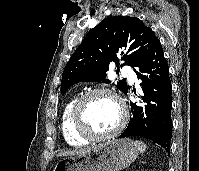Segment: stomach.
I'll use <instances>...</instances> for the list:
<instances>
[{
  "mask_svg": "<svg viewBox=\"0 0 199 171\" xmlns=\"http://www.w3.org/2000/svg\"><path fill=\"white\" fill-rule=\"evenodd\" d=\"M137 155L138 148L130 138L110 139L84 154L60 160L53 171H120Z\"/></svg>",
  "mask_w": 199,
  "mask_h": 171,
  "instance_id": "0dacf381",
  "label": "stomach"
}]
</instances>
